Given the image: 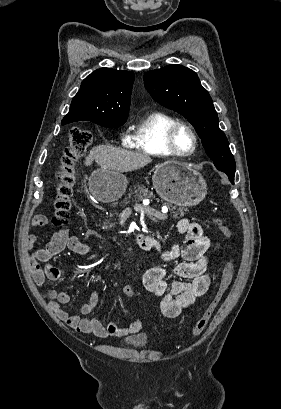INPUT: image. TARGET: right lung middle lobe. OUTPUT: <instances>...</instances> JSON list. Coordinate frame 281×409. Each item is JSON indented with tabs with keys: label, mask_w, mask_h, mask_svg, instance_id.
I'll use <instances>...</instances> for the list:
<instances>
[{
	"label": "right lung middle lobe",
	"mask_w": 281,
	"mask_h": 409,
	"mask_svg": "<svg viewBox=\"0 0 281 409\" xmlns=\"http://www.w3.org/2000/svg\"><path fill=\"white\" fill-rule=\"evenodd\" d=\"M126 121H120V122H100L97 123L103 127H119L121 125H123Z\"/></svg>",
	"instance_id": "dd1d6c3e"
}]
</instances>
